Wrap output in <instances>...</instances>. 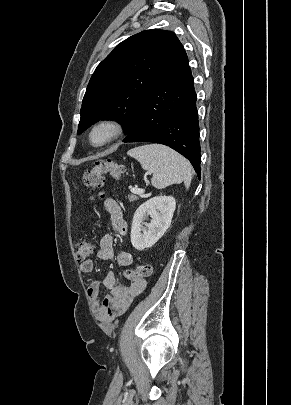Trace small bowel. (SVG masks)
Instances as JSON below:
<instances>
[{"mask_svg":"<svg viewBox=\"0 0 291 405\" xmlns=\"http://www.w3.org/2000/svg\"><path fill=\"white\" fill-rule=\"evenodd\" d=\"M104 209L109 214L113 229L121 235H125L128 226L123 219L119 203L112 198H107L104 201ZM98 256L102 260H109L114 257V237L111 234H105L100 239ZM116 260L119 266L126 267L132 264L133 257L129 252L122 251L118 253ZM93 270V260L88 259L81 263L82 272L90 273ZM103 284L106 288L112 290V294L106 296L102 302L99 300L100 284L98 281L89 284L87 294L91 300L95 317L105 324L111 323L116 317L124 313L133 299L142 293L146 287L144 280L131 282L129 285H118L114 272H109L106 275Z\"/></svg>","mask_w":291,"mask_h":405,"instance_id":"obj_1","label":"small bowel"}]
</instances>
